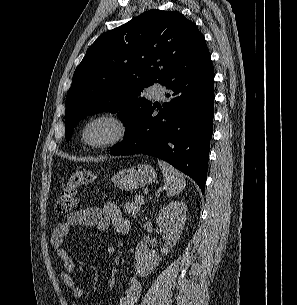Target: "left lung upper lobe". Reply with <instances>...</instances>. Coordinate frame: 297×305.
Segmentation results:
<instances>
[{
	"mask_svg": "<svg viewBox=\"0 0 297 305\" xmlns=\"http://www.w3.org/2000/svg\"><path fill=\"white\" fill-rule=\"evenodd\" d=\"M211 65L203 34L176 11L149 10L101 35L87 50L66 96L65 138L81 120L98 112L118 113L132 124L151 101L143 89L175 74Z\"/></svg>",
	"mask_w": 297,
	"mask_h": 305,
	"instance_id": "5c2ea615",
	"label": "left lung upper lobe"
}]
</instances>
